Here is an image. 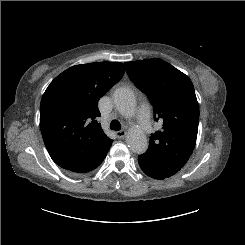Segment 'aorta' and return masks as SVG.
Masks as SVG:
<instances>
[{
  "label": "aorta",
  "instance_id": "762f6f07",
  "mask_svg": "<svg viewBox=\"0 0 245 245\" xmlns=\"http://www.w3.org/2000/svg\"><path fill=\"white\" fill-rule=\"evenodd\" d=\"M116 109L125 117L134 114L136 98L132 90L118 88L113 95ZM126 143L130 150L136 154L144 153L148 148V140L144 132L137 128H131L126 136Z\"/></svg>",
  "mask_w": 245,
  "mask_h": 245
}]
</instances>
